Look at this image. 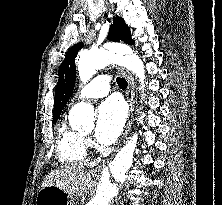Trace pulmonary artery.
<instances>
[{
	"label": "pulmonary artery",
	"instance_id": "e3ab8cb5",
	"mask_svg": "<svg viewBox=\"0 0 222 205\" xmlns=\"http://www.w3.org/2000/svg\"><path fill=\"white\" fill-rule=\"evenodd\" d=\"M109 91V79L103 75H99L93 78L82 89H80V91L76 94L74 98V102L86 99L101 98L106 96Z\"/></svg>",
	"mask_w": 222,
	"mask_h": 205
}]
</instances>
